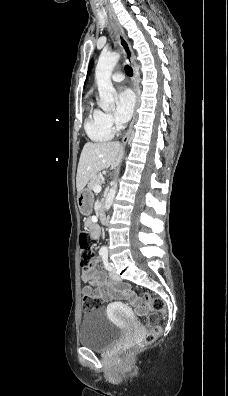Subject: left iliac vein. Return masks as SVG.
Returning <instances> with one entry per match:
<instances>
[{"instance_id": "left-iliac-vein-1", "label": "left iliac vein", "mask_w": 228, "mask_h": 396, "mask_svg": "<svg viewBox=\"0 0 228 396\" xmlns=\"http://www.w3.org/2000/svg\"><path fill=\"white\" fill-rule=\"evenodd\" d=\"M109 275H110V277H111L113 280H116V281H119V280H120V277H119V275L116 273V270H115V267H114V266L111 267V270L109 271Z\"/></svg>"}]
</instances>
